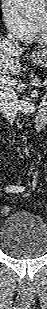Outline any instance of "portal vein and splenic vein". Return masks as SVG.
Returning <instances> with one entry per match:
<instances>
[{"instance_id":"1","label":"portal vein and splenic vein","mask_w":47,"mask_h":309,"mask_svg":"<svg viewBox=\"0 0 47 309\" xmlns=\"http://www.w3.org/2000/svg\"><path fill=\"white\" fill-rule=\"evenodd\" d=\"M2 82H6V80L5 79H2ZM13 82V81H12Z\"/></svg>"}]
</instances>
